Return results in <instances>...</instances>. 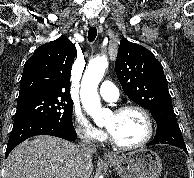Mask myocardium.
<instances>
[{"instance_id": "myocardium-1", "label": "myocardium", "mask_w": 194, "mask_h": 178, "mask_svg": "<svg viewBox=\"0 0 194 178\" xmlns=\"http://www.w3.org/2000/svg\"><path fill=\"white\" fill-rule=\"evenodd\" d=\"M131 110L139 112L145 118L146 123H147V133H146V136L138 143H135V144H123V143L119 142L113 136V134L110 132V130H108V137H109L110 142L114 146H116V147H118L120 149L129 150V149H137V148L143 147L152 139L153 134H154V122H153V119H152L150 113L145 108H143V107H141L139 105H134V104L123 105V106H120V107L116 108L114 110V113L115 114H122L124 112L131 111Z\"/></svg>"}]
</instances>
